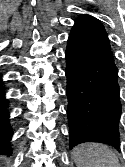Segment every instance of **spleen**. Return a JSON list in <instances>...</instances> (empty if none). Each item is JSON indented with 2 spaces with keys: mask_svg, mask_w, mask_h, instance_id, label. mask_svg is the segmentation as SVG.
<instances>
[{
  "mask_svg": "<svg viewBox=\"0 0 125 167\" xmlns=\"http://www.w3.org/2000/svg\"><path fill=\"white\" fill-rule=\"evenodd\" d=\"M72 155L77 167H121L116 154L104 144H81Z\"/></svg>",
  "mask_w": 125,
  "mask_h": 167,
  "instance_id": "3e777b00",
  "label": "spleen"
}]
</instances>
